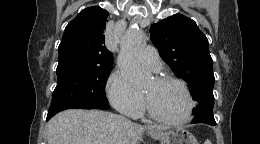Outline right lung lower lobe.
<instances>
[{
	"label": "right lung lower lobe",
	"instance_id": "right-lung-lower-lobe-1",
	"mask_svg": "<svg viewBox=\"0 0 260 144\" xmlns=\"http://www.w3.org/2000/svg\"><path fill=\"white\" fill-rule=\"evenodd\" d=\"M109 108V105L107 104H100V105H96V106H93V107H90L88 109H102V110H105V109H108ZM52 116H47V119H50Z\"/></svg>",
	"mask_w": 260,
	"mask_h": 144
}]
</instances>
